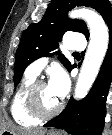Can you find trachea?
<instances>
[{"instance_id": "1", "label": "trachea", "mask_w": 112, "mask_h": 135, "mask_svg": "<svg viewBox=\"0 0 112 135\" xmlns=\"http://www.w3.org/2000/svg\"><path fill=\"white\" fill-rule=\"evenodd\" d=\"M74 55H79V53L78 52H74Z\"/></svg>"}]
</instances>
